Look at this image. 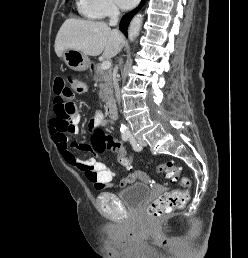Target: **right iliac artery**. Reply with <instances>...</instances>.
Instances as JSON below:
<instances>
[{
    "label": "right iliac artery",
    "mask_w": 248,
    "mask_h": 258,
    "mask_svg": "<svg viewBox=\"0 0 248 258\" xmlns=\"http://www.w3.org/2000/svg\"><path fill=\"white\" fill-rule=\"evenodd\" d=\"M129 138H130V135H129V134H127V133H123V134H122V139H123L124 141H127Z\"/></svg>",
    "instance_id": "obj_1"
}]
</instances>
